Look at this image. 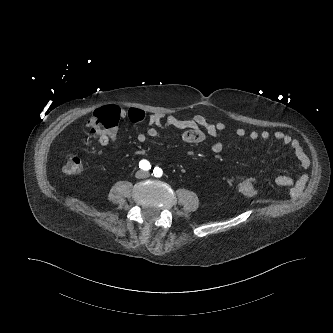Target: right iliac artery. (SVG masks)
<instances>
[{
  "mask_svg": "<svg viewBox=\"0 0 333 333\" xmlns=\"http://www.w3.org/2000/svg\"><path fill=\"white\" fill-rule=\"evenodd\" d=\"M139 168H141L144 171H148L151 169V164L148 160L143 159L139 162Z\"/></svg>",
  "mask_w": 333,
  "mask_h": 333,
  "instance_id": "82829eb1",
  "label": "right iliac artery"
}]
</instances>
